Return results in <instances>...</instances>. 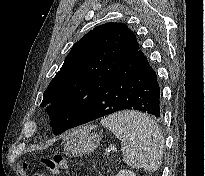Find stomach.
<instances>
[{
	"mask_svg": "<svg viewBox=\"0 0 205 176\" xmlns=\"http://www.w3.org/2000/svg\"><path fill=\"white\" fill-rule=\"evenodd\" d=\"M101 141V136L88 133L87 130L80 131L65 145V154L70 157L88 155L95 151Z\"/></svg>",
	"mask_w": 205,
	"mask_h": 176,
	"instance_id": "1",
	"label": "stomach"
}]
</instances>
